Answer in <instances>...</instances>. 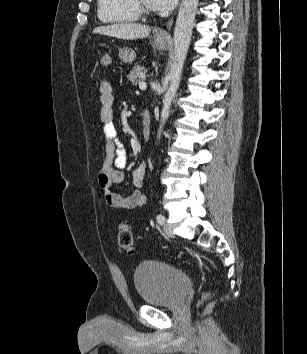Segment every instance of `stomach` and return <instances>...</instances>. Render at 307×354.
Masks as SVG:
<instances>
[{
	"instance_id": "stomach-1",
	"label": "stomach",
	"mask_w": 307,
	"mask_h": 354,
	"mask_svg": "<svg viewBox=\"0 0 307 354\" xmlns=\"http://www.w3.org/2000/svg\"><path fill=\"white\" fill-rule=\"evenodd\" d=\"M153 45L159 50H166L168 48V39L166 36L157 35L153 39ZM136 57L135 52L129 48H122L119 50V58L123 63H132Z\"/></svg>"
}]
</instances>
